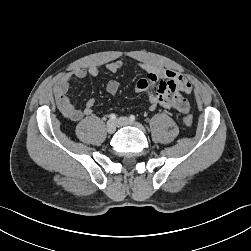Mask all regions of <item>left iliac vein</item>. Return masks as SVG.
I'll return each mask as SVG.
<instances>
[{"label":"left iliac vein","instance_id":"obj_1","mask_svg":"<svg viewBox=\"0 0 251 251\" xmlns=\"http://www.w3.org/2000/svg\"><path fill=\"white\" fill-rule=\"evenodd\" d=\"M116 123L118 126H135L139 128L140 130L145 131L144 127L140 123H135L131 121L130 119H128L127 117H120L116 121Z\"/></svg>","mask_w":251,"mask_h":251}]
</instances>
